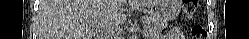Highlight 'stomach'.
<instances>
[{"label": "stomach", "instance_id": "0dacf381", "mask_svg": "<svg viewBox=\"0 0 249 39\" xmlns=\"http://www.w3.org/2000/svg\"><path fill=\"white\" fill-rule=\"evenodd\" d=\"M181 9V0H144L142 10L154 18L170 21Z\"/></svg>", "mask_w": 249, "mask_h": 39}]
</instances>
